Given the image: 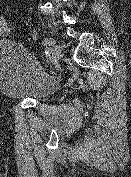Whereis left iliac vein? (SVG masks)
I'll list each match as a JSON object with an SVG mask.
<instances>
[{"instance_id":"1","label":"left iliac vein","mask_w":131,"mask_h":177,"mask_svg":"<svg viewBox=\"0 0 131 177\" xmlns=\"http://www.w3.org/2000/svg\"><path fill=\"white\" fill-rule=\"evenodd\" d=\"M51 53H52L51 58L53 59V61L57 62L61 59V47L59 45L54 44L51 47Z\"/></svg>"}]
</instances>
